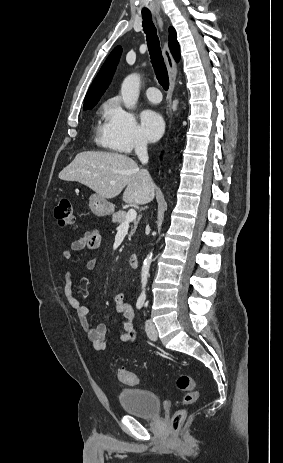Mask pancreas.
Returning <instances> with one entry per match:
<instances>
[{"mask_svg": "<svg viewBox=\"0 0 283 463\" xmlns=\"http://www.w3.org/2000/svg\"><path fill=\"white\" fill-rule=\"evenodd\" d=\"M126 214H127V213H126L125 211H122V210L113 213V215H112V222H113V223H118V224L123 223V222L125 221ZM133 224H134V227H131V231H130V234H129V239H130L131 236L135 233L136 226H137V222L134 221Z\"/></svg>", "mask_w": 283, "mask_h": 463, "instance_id": "pancreas-1", "label": "pancreas"}]
</instances>
